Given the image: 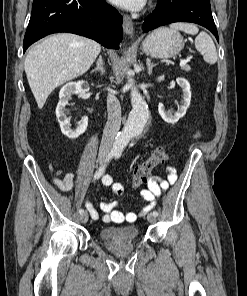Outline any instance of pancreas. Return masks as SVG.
<instances>
[{
	"instance_id": "pancreas-1",
	"label": "pancreas",
	"mask_w": 247,
	"mask_h": 296,
	"mask_svg": "<svg viewBox=\"0 0 247 296\" xmlns=\"http://www.w3.org/2000/svg\"><path fill=\"white\" fill-rule=\"evenodd\" d=\"M182 70L189 72L190 71V67L188 65H185L182 67Z\"/></svg>"
}]
</instances>
